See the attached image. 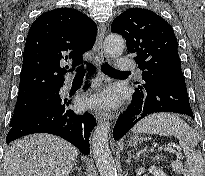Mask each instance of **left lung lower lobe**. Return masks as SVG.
Masks as SVG:
<instances>
[{
    "mask_svg": "<svg viewBox=\"0 0 205 176\" xmlns=\"http://www.w3.org/2000/svg\"><path fill=\"white\" fill-rule=\"evenodd\" d=\"M156 112L180 113L193 118L182 72L162 73L138 84L130 105L116 122L114 139L119 140L137 122Z\"/></svg>",
    "mask_w": 205,
    "mask_h": 176,
    "instance_id": "obj_1",
    "label": "left lung lower lobe"
}]
</instances>
